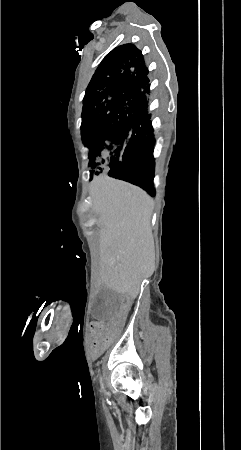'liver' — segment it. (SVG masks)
Here are the masks:
<instances>
[{"label": "liver", "mask_w": 241, "mask_h": 450, "mask_svg": "<svg viewBox=\"0 0 241 450\" xmlns=\"http://www.w3.org/2000/svg\"><path fill=\"white\" fill-rule=\"evenodd\" d=\"M89 194L99 216L100 278L114 292L136 298L155 270L154 202L141 188L107 174L94 176Z\"/></svg>", "instance_id": "obj_1"}]
</instances>
